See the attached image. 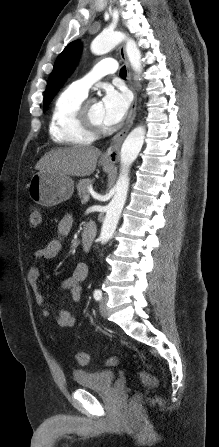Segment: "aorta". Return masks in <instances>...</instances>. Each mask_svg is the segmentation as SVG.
I'll return each mask as SVG.
<instances>
[{
    "label": "aorta",
    "mask_w": 219,
    "mask_h": 447,
    "mask_svg": "<svg viewBox=\"0 0 219 447\" xmlns=\"http://www.w3.org/2000/svg\"><path fill=\"white\" fill-rule=\"evenodd\" d=\"M125 41V50L130 65L137 74L142 72L141 52L136 42L120 31H103L94 38L91 43V51L96 55H103L112 50L120 42ZM145 139V128L138 126L134 128L124 140L120 162L121 170L119 178L114 186V196L106 208V215L102 224L100 241L107 242L113 235L122 209L127 199L129 188V169L137 158Z\"/></svg>",
    "instance_id": "obj_1"
}]
</instances>
